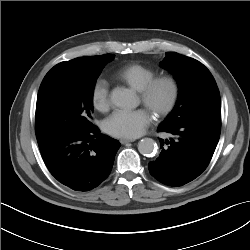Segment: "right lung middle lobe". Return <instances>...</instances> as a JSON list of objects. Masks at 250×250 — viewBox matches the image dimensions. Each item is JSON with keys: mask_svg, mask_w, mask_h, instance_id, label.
Instances as JSON below:
<instances>
[{"mask_svg": "<svg viewBox=\"0 0 250 250\" xmlns=\"http://www.w3.org/2000/svg\"><path fill=\"white\" fill-rule=\"evenodd\" d=\"M115 55L105 54L89 68L62 74L40 87L36 104V138L61 133H81L91 123L95 82Z\"/></svg>", "mask_w": 250, "mask_h": 250, "instance_id": "dd1d6c3e", "label": "right lung middle lobe"}]
</instances>
